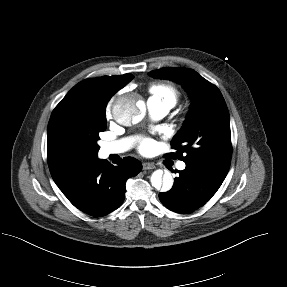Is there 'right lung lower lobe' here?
Returning <instances> with one entry per match:
<instances>
[{
    "label": "right lung lower lobe",
    "instance_id": "obj_1",
    "mask_svg": "<svg viewBox=\"0 0 287 287\" xmlns=\"http://www.w3.org/2000/svg\"><path fill=\"white\" fill-rule=\"evenodd\" d=\"M115 163L92 158L61 191L76 208L91 216L109 214L123 203L126 180L142 170L141 162L132 157Z\"/></svg>",
    "mask_w": 287,
    "mask_h": 287
}]
</instances>
